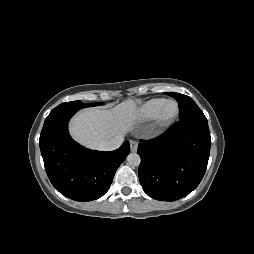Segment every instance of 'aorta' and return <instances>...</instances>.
<instances>
[{
    "mask_svg": "<svg viewBox=\"0 0 254 254\" xmlns=\"http://www.w3.org/2000/svg\"><path fill=\"white\" fill-rule=\"evenodd\" d=\"M127 162L130 166H139L141 162V158L137 153H130L127 156Z\"/></svg>",
    "mask_w": 254,
    "mask_h": 254,
    "instance_id": "obj_1",
    "label": "aorta"
}]
</instances>
